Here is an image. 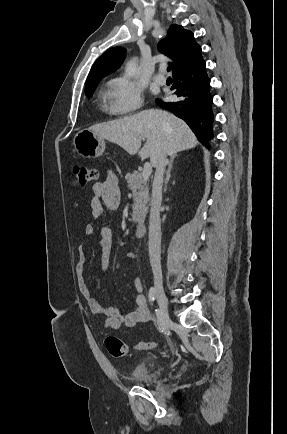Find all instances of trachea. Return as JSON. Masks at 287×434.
<instances>
[{
  "label": "trachea",
  "instance_id": "trachea-1",
  "mask_svg": "<svg viewBox=\"0 0 287 434\" xmlns=\"http://www.w3.org/2000/svg\"><path fill=\"white\" fill-rule=\"evenodd\" d=\"M170 71H171V68H170V67H168V68H167V72H170Z\"/></svg>",
  "mask_w": 287,
  "mask_h": 434
}]
</instances>
